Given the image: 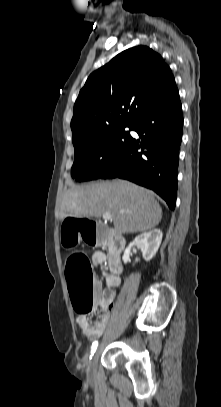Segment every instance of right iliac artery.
I'll return each mask as SVG.
<instances>
[{"label": "right iliac artery", "mask_w": 221, "mask_h": 407, "mask_svg": "<svg viewBox=\"0 0 221 407\" xmlns=\"http://www.w3.org/2000/svg\"><path fill=\"white\" fill-rule=\"evenodd\" d=\"M97 346H98V341H94V342L92 343V346H91V356H90V358H92V355H93L94 352L96 351Z\"/></svg>", "instance_id": "right-iliac-artery-1"}]
</instances>
